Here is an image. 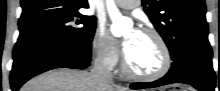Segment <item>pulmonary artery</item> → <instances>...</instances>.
<instances>
[{"label":"pulmonary artery","instance_id":"pulmonary-artery-1","mask_svg":"<svg viewBox=\"0 0 220 91\" xmlns=\"http://www.w3.org/2000/svg\"><path fill=\"white\" fill-rule=\"evenodd\" d=\"M117 5L124 9H133L140 3L139 0H119L116 1Z\"/></svg>","mask_w":220,"mask_h":91}]
</instances>
